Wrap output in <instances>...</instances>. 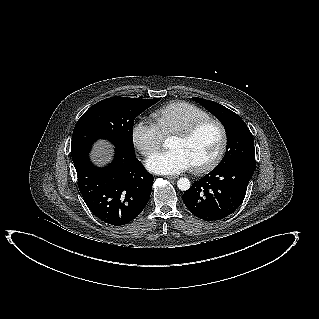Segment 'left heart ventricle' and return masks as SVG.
Instances as JSON below:
<instances>
[{"label":"left heart ventricle","instance_id":"obj_1","mask_svg":"<svg viewBox=\"0 0 319 319\" xmlns=\"http://www.w3.org/2000/svg\"><path fill=\"white\" fill-rule=\"evenodd\" d=\"M220 143V134L216 126L209 124L197 131L193 137L183 140L171 137L169 149L182 151L189 159L191 166L208 162L217 152Z\"/></svg>","mask_w":319,"mask_h":319}]
</instances>
